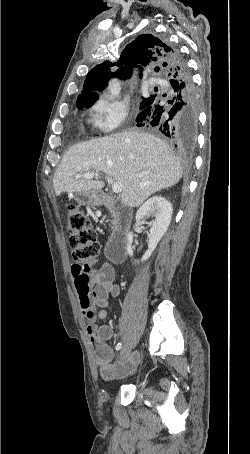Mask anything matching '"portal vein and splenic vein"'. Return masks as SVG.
<instances>
[{"label":"portal vein and splenic vein","mask_w":250,"mask_h":454,"mask_svg":"<svg viewBox=\"0 0 250 454\" xmlns=\"http://www.w3.org/2000/svg\"><path fill=\"white\" fill-rule=\"evenodd\" d=\"M75 176L77 178L93 179L94 177L98 176V173H96L94 171H90V172H86L84 174H75ZM106 180H107L108 184H110L112 186V191L115 194H118L122 191L123 184L121 182H114V180L109 176L106 177Z\"/></svg>","instance_id":"portal-vein-and-splenic-vein-1"}]
</instances>
